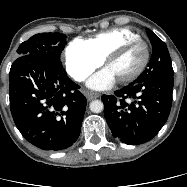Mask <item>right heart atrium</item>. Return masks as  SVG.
Listing matches in <instances>:
<instances>
[{
    "label": "right heart atrium",
    "mask_w": 187,
    "mask_h": 187,
    "mask_svg": "<svg viewBox=\"0 0 187 187\" xmlns=\"http://www.w3.org/2000/svg\"><path fill=\"white\" fill-rule=\"evenodd\" d=\"M64 57L66 69L76 81L85 80L103 63V59L82 39L71 41L65 49Z\"/></svg>",
    "instance_id": "d8ad5b80"
}]
</instances>
